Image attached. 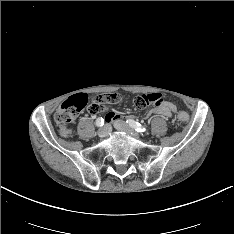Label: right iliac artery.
I'll return each instance as SVG.
<instances>
[{"label":"right iliac artery","instance_id":"obj_1","mask_svg":"<svg viewBox=\"0 0 234 234\" xmlns=\"http://www.w3.org/2000/svg\"><path fill=\"white\" fill-rule=\"evenodd\" d=\"M104 125V119L101 117V118H98L96 120V126L98 127H102Z\"/></svg>","mask_w":234,"mask_h":234}]
</instances>
